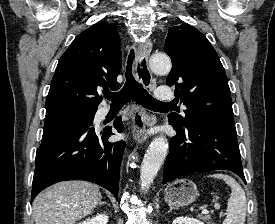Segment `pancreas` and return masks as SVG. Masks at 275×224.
Instances as JSON below:
<instances>
[{"label":"pancreas","instance_id":"pancreas-1","mask_svg":"<svg viewBox=\"0 0 275 224\" xmlns=\"http://www.w3.org/2000/svg\"><path fill=\"white\" fill-rule=\"evenodd\" d=\"M200 219H202L203 221H205L207 224H214V223L211 221V216H210V215L201 216Z\"/></svg>","mask_w":275,"mask_h":224}]
</instances>
